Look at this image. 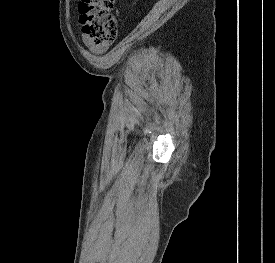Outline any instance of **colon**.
Returning <instances> with one entry per match:
<instances>
[{"instance_id":"colon-1","label":"colon","mask_w":275,"mask_h":263,"mask_svg":"<svg viewBox=\"0 0 275 263\" xmlns=\"http://www.w3.org/2000/svg\"><path fill=\"white\" fill-rule=\"evenodd\" d=\"M114 5L115 0H81L79 3L82 32L95 44L109 45L118 37Z\"/></svg>"}]
</instances>
